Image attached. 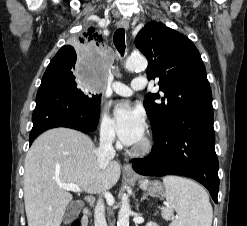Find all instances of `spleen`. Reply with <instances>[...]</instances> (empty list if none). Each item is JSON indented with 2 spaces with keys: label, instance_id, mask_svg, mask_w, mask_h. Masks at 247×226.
Returning <instances> with one entry per match:
<instances>
[{
  "label": "spleen",
  "instance_id": "1",
  "mask_svg": "<svg viewBox=\"0 0 247 226\" xmlns=\"http://www.w3.org/2000/svg\"><path fill=\"white\" fill-rule=\"evenodd\" d=\"M165 197L169 204L162 208V216L177 217L170 226H211L213 210L207 192L196 182L178 176L163 178Z\"/></svg>",
  "mask_w": 247,
  "mask_h": 226
}]
</instances>
